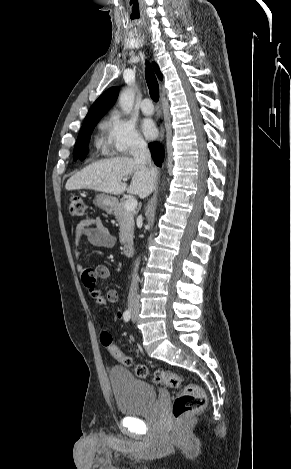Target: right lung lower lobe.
<instances>
[{
  "label": "right lung lower lobe",
  "instance_id": "right-lung-lower-lobe-1",
  "mask_svg": "<svg viewBox=\"0 0 291 469\" xmlns=\"http://www.w3.org/2000/svg\"><path fill=\"white\" fill-rule=\"evenodd\" d=\"M148 146H149V149L151 151V155H152V158H153L155 164L157 166H161V163H162L163 158H164V150H163L162 146L157 142L150 143Z\"/></svg>",
  "mask_w": 291,
  "mask_h": 469
}]
</instances>
